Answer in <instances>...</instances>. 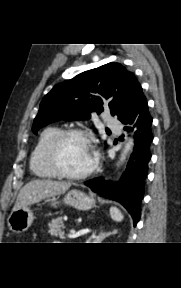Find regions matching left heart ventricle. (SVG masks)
I'll list each match as a JSON object with an SVG mask.
<instances>
[{"instance_id":"b2bd125f","label":"left heart ventricle","mask_w":181,"mask_h":288,"mask_svg":"<svg viewBox=\"0 0 181 288\" xmlns=\"http://www.w3.org/2000/svg\"><path fill=\"white\" fill-rule=\"evenodd\" d=\"M60 160L67 171L79 173L85 171L91 165L92 152L85 140L72 136L62 143Z\"/></svg>"}]
</instances>
